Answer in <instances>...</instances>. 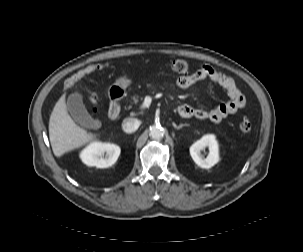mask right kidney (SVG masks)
Masks as SVG:
<instances>
[{
    "instance_id": "1",
    "label": "right kidney",
    "mask_w": 303,
    "mask_h": 252,
    "mask_svg": "<svg viewBox=\"0 0 303 252\" xmlns=\"http://www.w3.org/2000/svg\"><path fill=\"white\" fill-rule=\"evenodd\" d=\"M120 152L118 145L93 142L81 151L80 158L88 166L107 168L117 161Z\"/></svg>"
}]
</instances>
